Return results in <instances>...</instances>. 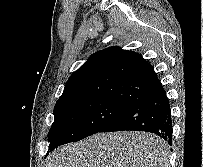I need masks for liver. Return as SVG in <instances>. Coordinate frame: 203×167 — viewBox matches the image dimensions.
<instances>
[{
	"label": "liver",
	"mask_w": 203,
	"mask_h": 167,
	"mask_svg": "<svg viewBox=\"0 0 203 167\" xmlns=\"http://www.w3.org/2000/svg\"><path fill=\"white\" fill-rule=\"evenodd\" d=\"M167 143L145 132L98 133L63 145L46 167H169Z\"/></svg>",
	"instance_id": "obj_1"
}]
</instances>
